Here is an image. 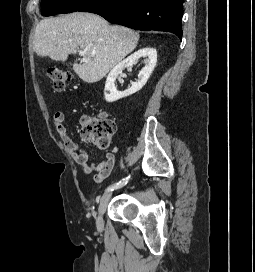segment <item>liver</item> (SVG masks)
<instances>
[{
    "label": "liver",
    "instance_id": "liver-1",
    "mask_svg": "<svg viewBox=\"0 0 255 272\" xmlns=\"http://www.w3.org/2000/svg\"><path fill=\"white\" fill-rule=\"evenodd\" d=\"M139 34L127 27L109 25L93 13L75 12L41 20L33 48L37 55L66 61L78 49L86 50L88 62L74 63V72L85 82L100 81L117 63L132 52Z\"/></svg>",
    "mask_w": 255,
    "mask_h": 272
}]
</instances>
